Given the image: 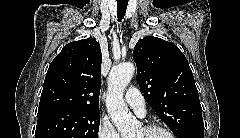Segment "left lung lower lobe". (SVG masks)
Returning <instances> with one entry per match:
<instances>
[{
  "mask_svg": "<svg viewBox=\"0 0 240 138\" xmlns=\"http://www.w3.org/2000/svg\"><path fill=\"white\" fill-rule=\"evenodd\" d=\"M204 128H195L184 135L183 138H203Z\"/></svg>",
  "mask_w": 240,
  "mask_h": 138,
  "instance_id": "1",
  "label": "left lung lower lobe"
}]
</instances>
